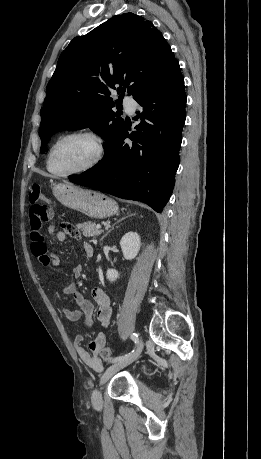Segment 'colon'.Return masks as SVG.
Listing matches in <instances>:
<instances>
[{
	"label": "colon",
	"instance_id": "colon-1",
	"mask_svg": "<svg viewBox=\"0 0 261 459\" xmlns=\"http://www.w3.org/2000/svg\"><path fill=\"white\" fill-rule=\"evenodd\" d=\"M30 203V219L28 220L29 233L36 234L38 237L43 235L41 226L44 222L52 218L53 212L50 206L49 199L42 192L41 186L37 183L33 184L29 193ZM61 227L68 232L72 237L77 238L79 232L69 223H62ZM101 358L108 362L112 359V352L109 346H104L100 352Z\"/></svg>",
	"mask_w": 261,
	"mask_h": 459
}]
</instances>
